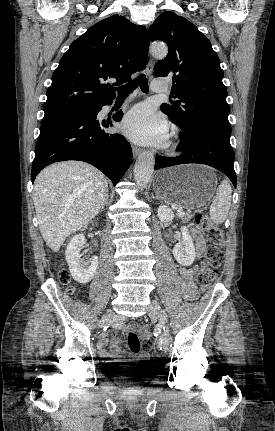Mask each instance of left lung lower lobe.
Wrapping results in <instances>:
<instances>
[{"instance_id":"1","label":"left lung lower lobe","mask_w":275,"mask_h":431,"mask_svg":"<svg viewBox=\"0 0 275 431\" xmlns=\"http://www.w3.org/2000/svg\"><path fill=\"white\" fill-rule=\"evenodd\" d=\"M179 149L184 152L177 157L157 156L155 169L186 163L206 164L223 172L236 187L234 152L230 135L218 133H184L180 138Z\"/></svg>"}]
</instances>
